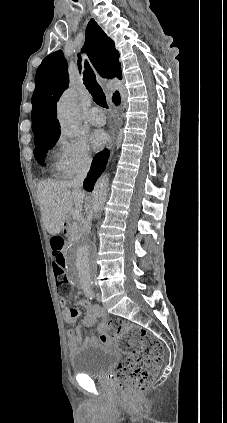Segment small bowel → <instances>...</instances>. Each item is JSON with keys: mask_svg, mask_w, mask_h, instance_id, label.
<instances>
[{"mask_svg": "<svg viewBox=\"0 0 227 423\" xmlns=\"http://www.w3.org/2000/svg\"><path fill=\"white\" fill-rule=\"evenodd\" d=\"M64 256V255H63ZM60 305L63 307V318L67 324H74L77 318L80 316V311L74 308L67 307V301L64 297L60 299ZM79 305L86 310L85 316L83 318V326L86 328L93 327L97 320L100 319L98 323V330L100 332L99 340H96L92 337L86 338V343H107L109 342V336L106 333L107 323H106V312L102 306L98 304H92L88 300H81ZM81 327H76L73 330L68 331L69 346L72 351H75L80 340H81Z\"/></svg>", "mask_w": 227, "mask_h": 423, "instance_id": "c3829d8e", "label": "small bowel"}]
</instances>
